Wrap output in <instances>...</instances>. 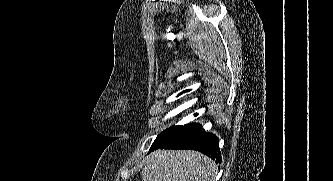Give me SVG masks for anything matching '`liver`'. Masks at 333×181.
Listing matches in <instances>:
<instances>
[{"mask_svg": "<svg viewBox=\"0 0 333 181\" xmlns=\"http://www.w3.org/2000/svg\"><path fill=\"white\" fill-rule=\"evenodd\" d=\"M218 167L193 150H157L145 160L142 181H215Z\"/></svg>", "mask_w": 333, "mask_h": 181, "instance_id": "liver-1", "label": "liver"}]
</instances>
